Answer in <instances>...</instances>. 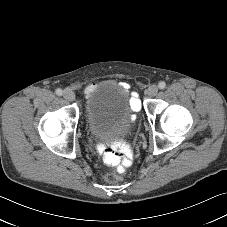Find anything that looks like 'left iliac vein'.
I'll list each match as a JSON object with an SVG mask.
<instances>
[{
    "label": "left iliac vein",
    "instance_id": "4c4485c4",
    "mask_svg": "<svg viewBox=\"0 0 227 227\" xmlns=\"http://www.w3.org/2000/svg\"><path fill=\"white\" fill-rule=\"evenodd\" d=\"M157 93H158V86L157 85H151L147 90V94L149 96H155Z\"/></svg>",
    "mask_w": 227,
    "mask_h": 227
}]
</instances>
